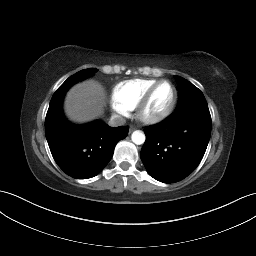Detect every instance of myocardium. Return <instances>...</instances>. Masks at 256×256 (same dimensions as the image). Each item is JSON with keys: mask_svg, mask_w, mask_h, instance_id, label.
Segmentation results:
<instances>
[{"mask_svg": "<svg viewBox=\"0 0 256 256\" xmlns=\"http://www.w3.org/2000/svg\"><path fill=\"white\" fill-rule=\"evenodd\" d=\"M165 83L169 84L173 91L171 102L169 103L167 108H165L163 111H161L159 113H153V114L149 113L148 107H149V104L151 102V99H152L154 93L162 84H165ZM177 96H178L177 89L171 81L160 80V81L156 82L153 86H151L147 90V92L144 94L142 99L137 104V106L135 108L137 119L140 122L145 123V124H155V123L163 121L173 112L176 102H177Z\"/></svg>", "mask_w": 256, "mask_h": 256, "instance_id": "myocardium-1", "label": "myocardium"}]
</instances>
